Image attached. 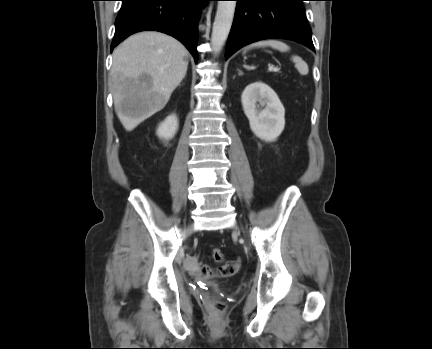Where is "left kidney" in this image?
Here are the masks:
<instances>
[{
    "instance_id": "5707ae66",
    "label": "left kidney",
    "mask_w": 432,
    "mask_h": 349,
    "mask_svg": "<svg viewBox=\"0 0 432 349\" xmlns=\"http://www.w3.org/2000/svg\"><path fill=\"white\" fill-rule=\"evenodd\" d=\"M252 132L266 142L275 141L285 126V109L275 91L262 81L249 84L241 96ZM259 103V109L257 107Z\"/></svg>"
}]
</instances>
